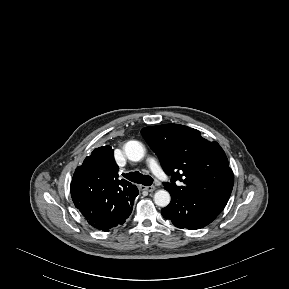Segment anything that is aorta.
Wrapping results in <instances>:
<instances>
[{
    "mask_svg": "<svg viewBox=\"0 0 289 289\" xmlns=\"http://www.w3.org/2000/svg\"><path fill=\"white\" fill-rule=\"evenodd\" d=\"M125 154L131 161H140L145 154V149L139 141H128L124 146ZM171 197L168 191L158 190L154 194V202L157 206L166 207L170 203Z\"/></svg>",
    "mask_w": 289,
    "mask_h": 289,
    "instance_id": "762f6f07",
    "label": "aorta"
}]
</instances>
